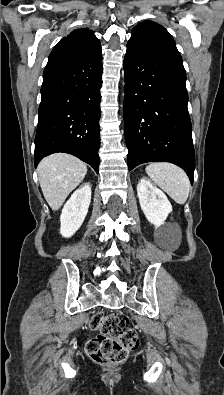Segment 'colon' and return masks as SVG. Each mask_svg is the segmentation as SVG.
Wrapping results in <instances>:
<instances>
[{
	"instance_id": "colon-1",
	"label": "colon",
	"mask_w": 224,
	"mask_h": 395,
	"mask_svg": "<svg viewBox=\"0 0 224 395\" xmlns=\"http://www.w3.org/2000/svg\"><path fill=\"white\" fill-rule=\"evenodd\" d=\"M91 327L98 333L87 343L86 352L95 363H120L138 345L134 326L124 314L99 313L93 317Z\"/></svg>"
}]
</instances>
